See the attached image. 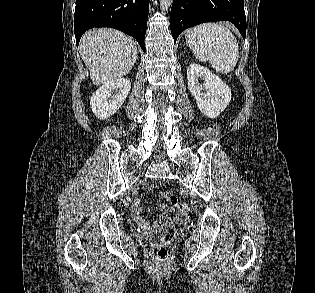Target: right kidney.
<instances>
[{"instance_id":"right-kidney-1","label":"right kidney","mask_w":315,"mask_h":293,"mask_svg":"<svg viewBox=\"0 0 315 293\" xmlns=\"http://www.w3.org/2000/svg\"><path fill=\"white\" fill-rule=\"evenodd\" d=\"M130 88V81L124 78L102 85L90 99L94 115L100 120L112 116L124 103Z\"/></svg>"}]
</instances>
